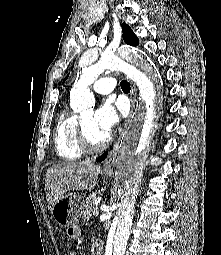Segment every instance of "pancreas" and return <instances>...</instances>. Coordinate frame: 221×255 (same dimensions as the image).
<instances>
[{
	"label": "pancreas",
	"instance_id": "pancreas-1",
	"mask_svg": "<svg viewBox=\"0 0 221 255\" xmlns=\"http://www.w3.org/2000/svg\"><path fill=\"white\" fill-rule=\"evenodd\" d=\"M97 199V193L89 194L84 201L83 211H82V219L86 222L92 218L93 210H94V202Z\"/></svg>",
	"mask_w": 221,
	"mask_h": 255
}]
</instances>
